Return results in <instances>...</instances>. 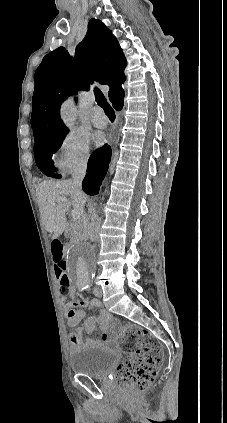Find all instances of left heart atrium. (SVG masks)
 Returning a JSON list of instances; mask_svg holds the SVG:
<instances>
[{"label":"left heart atrium","mask_w":227,"mask_h":423,"mask_svg":"<svg viewBox=\"0 0 227 423\" xmlns=\"http://www.w3.org/2000/svg\"><path fill=\"white\" fill-rule=\"evenodd\" d=\"M94 141L97 145H100L104 142V136L101 133H96L94 136Z\"/></svg>","instance_id":"left-heart-atrium-1"}]
</instances>
